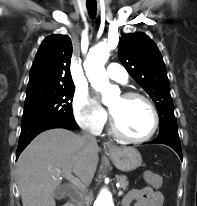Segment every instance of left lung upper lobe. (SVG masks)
Returning a JSON list of instances; mask_svg holds the SVG:
<instances>
[{"label": "left lung upper lobe", "mask_w": 197, "mask_h": 206, "mask_svg": "<svg viewBox=\"0 0 197 206\" xmlns=\"http://www.w3.org/2000/svg\"><path fill=\"white\" fill-rule=\"evenodd\" d=\"M118 55L128 73L157 107L160 118L158 136H179L166 67L156 44L143 33L124 34Z\"/></svg>", "instance_id": "left-lung-upper-lobe-1"}]
</instances>
